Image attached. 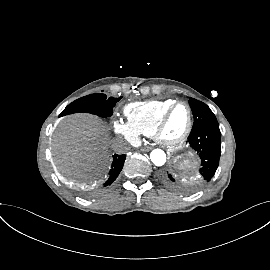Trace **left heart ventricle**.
I'll return each instance as SVG.
<instances>
[{
  "label": "left heart ventricle",
  "mask_w": 270,
  "mask_h": 270,
  "mask_svg": "<svg viewBox=\"0 0 270 270\" xmlns=\"http://www.w3.org/2000/svg\"><path fill=\"white\" fill-rule=\"evenodd\" d=\"M188 122V111L183 105L177 106L170 114L165 129L164 135L168 138H174L180 135L185 129Z\"/></svg>",
  "instance_id": "b2bd125f"
}]
</instances>
